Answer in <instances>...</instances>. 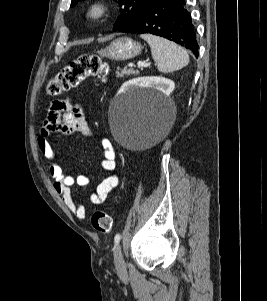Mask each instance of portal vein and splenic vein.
I'll list each match as a JSON object with an SVG mask.
<instances>
[{"label":"portal vein and splenic vein","mask_w":267,"mask_h":301,"mask_svg":"<svg viewBox=\"0 0 267 301\" xmlns=\"http://www.w3.org/2000/svg\"><path fill=\"white\" fill-rule=\"evenodd\" d=\"M148 65H149V64H147V63H145V62H139V63H138V66H139V67H142V68H144V67H146V66H148ZM128 66H129V67H133V66H135V64L129 63Z\"/></svg>","instance_id":"obj_1"}]
</instances>
